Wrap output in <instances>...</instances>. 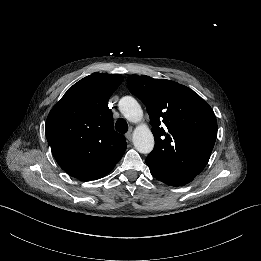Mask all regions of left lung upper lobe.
<instances>
[{"instance_id": "left-lung-upper-lobe-1", "label": "left lung upper lobe", "mask_w": 261, "mask_h": 261, "mask_svg": "<svg viewBox=\"0 0 261 261\" xmlns=\"http://www.w3.org/2000/svg\"><path fill=\"white\" fill-rule=\"evenodd\" d=\"M127 83L150 116L155 147L147 158L172 170L200 174L217 137L211 107L193 90L174 81L130 75Z\"/></svg>"}]
</instances>
